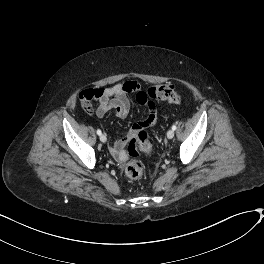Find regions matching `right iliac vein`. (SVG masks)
Wrapping results in <instances>:
<instances>
[{"label": "right iliac vein", "instance_id": "obj_1", "mask_svg": "<svg viewBox=\"0 0 264 264\" xmlns=\"http://www.w3.org/2000/svg\"><path fill=\"white\" fill-rule=\"evenodd\" d=\"M106 140H107L106 135L101 134L100 135V141L104 143V142H106Z\"/></svg>", "mask_w": 264, "mask_h": 264}]
</instances>
